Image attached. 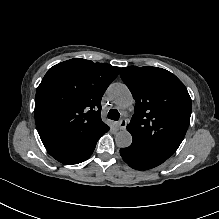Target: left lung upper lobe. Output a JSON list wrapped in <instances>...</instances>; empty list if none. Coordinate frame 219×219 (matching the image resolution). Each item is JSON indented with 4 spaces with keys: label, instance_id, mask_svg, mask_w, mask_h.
Listing matches in <instances>:
<instances>
[{
    "label": "left lung upper lobe",
    "instance_id": "obj_1",
    "mask_svg": "<svg viewBox=\"0 0 219 219\" xmlns=\"http://www.w3.org/2000/svg\"><path fill=\"white\" fill-rule=\"evenodd\" d=\"M120 76L136 101L127 125L133 141L168 159L190 123L192 103L186 87L174 74L157 67L128 66Z\"/></svg>",
    "mask_w": 219,
    "mask_h": 219
}]
</instances>
